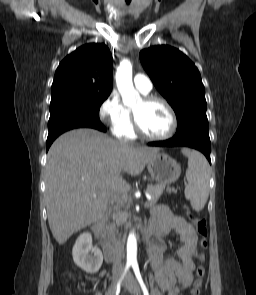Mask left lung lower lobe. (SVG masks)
Here are the masks:
<instances>
[{
    "label": "left lung lower lobe",
    "instance_id": "0a47b994",
    "mask_svg": "<svg viewBox=\"0 0 256 295\" xmlns=\"http://www.w3.org/2000/svg\"><path fill=\"white\" fill-rule=\"evenodd\" d=\"M150 146H160V147H177L185 146L194 148L202 152L208 161L210 160V138L209 134L199 131L186 132L181 135L174 136L166 141L151 142Z\"/></svg>",
    "mask_w": 256,
    "mask_h": 295
}]
</instances>
